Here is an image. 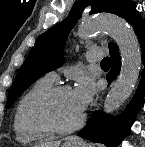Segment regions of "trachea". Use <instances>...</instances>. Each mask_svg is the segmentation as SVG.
I'll return each instance as SVG.
<instances>
[{"mask_svg": "<svg viewBox=\"0 0 145 147\" xmlns=\"http://www.w3.org/2000/svg\"><path fill=\"white\" fill-rule=\"evenodd\" d=\"M110 64H111V59L109 57H106L101 61V65H110Z\"/></svg>", "mask_w": 145, "mask_h": 147, "instance_id": "1", "label": "trachea"}]
</instances>
